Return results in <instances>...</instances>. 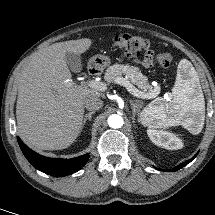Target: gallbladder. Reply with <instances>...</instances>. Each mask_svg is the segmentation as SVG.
I'll return each instance as SVG.
<instances>
[{
	"label": "gallbladder",
	"instance_id": "obj_1",
	"mask_svg": "<svg viewBox=\"0 0 215 215\" xmlns=\"http://www.w3.org/2000/svg\"><path fill=\"white\" fill-rule=\"evenodd\" d=\"M65 59H66L68 66L70 67V69L73 72H80L81 71V69H82V58L80 55L74 54V53H66Z\"/></svg>",
	"mask_w": 215,
	"mask_h": 215
}]
</instances>
